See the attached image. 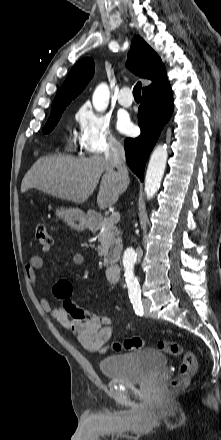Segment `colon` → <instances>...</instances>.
<instances>
[{
  "mask_svg": "<svg viewBox=\"0 0 221 440\" xmlns=\"http://www.w3.org/2000/svg\"><path fill=\"white\" fill-rule=\"evenodd\" d=\"M34 233L35 239L40 245L43 247L52 245V238L44 224H37ZM72 292V284L68 280H61L53 287V293L61 301L60 306L66 314L67 321H77L79 318H84L85 321L103 324L106 329L117 326V319L113 318L112 315H102L100 312H90L89 309H83L82 303H78L75 297H72ZM144 346V340L139 337L116 341L112 344V348L118 352L141 349ZM157 347L162 352L181 359L179 376L168 384L167 390L176 391L187 387L197 373L195 355L176 342L160 341Z\"/></svg>",
  "mask_w": 221,
  "mask_h": 440,
  "instance_id": "1",
  "label": "colon"
}]
</instances>
